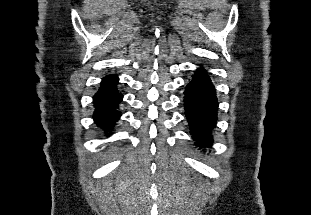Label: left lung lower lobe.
<instances>
[{"label": "left lung lower lobe", "instance_id": "1", "mask_svg": "<svg viewBox=\"0 0 311 215\" xmlns=\"http://www.w3.org/2000/svg\"><path fill=\"white\" fill-rule=\"evenodd\" d=\"M185 114L190 125L192 137L201 147L212 143L211 130L217 120L216 91L207 72L198 69L185 90Z\"/></svg>", "mask_w": 311, "mask_h": 215}]
</instances>
